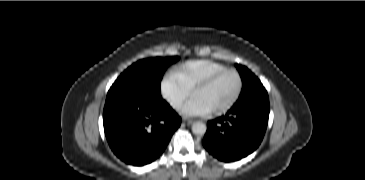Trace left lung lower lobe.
<instances>
[{"instance_id": "0a47b994", "label": "left lung lower lobe", "mask_w": 365, "mask_h": 180, "mask_svg": "<svg viewBox=\"0 0 365 180\" xmlns=\"http://www.w3.org/2000/svg\"><path fill=\"white\" fill-rule=\"evenodd\" d=\"M265 89L239 97L225 116L208 122L203 139L206 150L221 161L239 160L261 143L269 117Z\"/></svg>"}]
</instances>
